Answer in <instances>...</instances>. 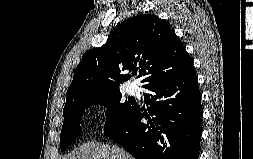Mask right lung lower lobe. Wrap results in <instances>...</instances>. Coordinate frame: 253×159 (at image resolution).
Returning a JSON list of instances; mask_svg holds the SVG:
<instances>
[{
	"label": "right lung lower lobe",
	"instance_id": "obj_1",
	"mask_svg": "<svg viewBox=\"0 0 253 159\" xmlns=\"http://www.w3.org/2000/svg\"><path fill=\"white\" fill-rule=\"evenodd\" d=\"M148 113L136 104L126 121L105 131L137 159H198L203 109L194 68L145 87ZM146 117L149 123L141 120Z\"/></svg>",
	"mask_w": 253,
	"mask_h": 159
}]
</instances>
